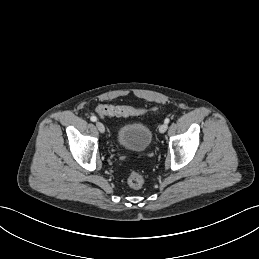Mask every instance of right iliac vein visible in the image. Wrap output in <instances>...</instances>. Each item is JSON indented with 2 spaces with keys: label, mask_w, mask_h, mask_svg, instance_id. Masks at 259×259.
I'll list each match as a JSON object with an SVG mask.
<instances>
[{
  "label": "right iliac vein",
  "mask_w": 259,
  "mask_h": 259,
  "mask_svg": "<svg viewBox=\"0 0 259 259\" xmlns=\"http://www.w3.org/2000/svg\"><path fill=\"white\" fill-rule=\"evenodd\" d=\"M96 127H97V129H98L101 133H104V132H105V127H104V125H103L100 121H97V122H96Z\"/></svg>",
  "instance_id": "1"
}]
</instances>
